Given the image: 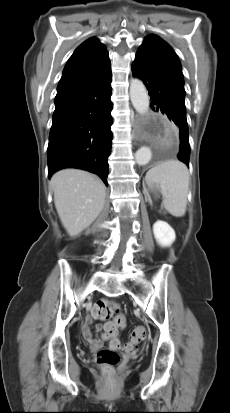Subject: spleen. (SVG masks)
Returning <instances> with one entry per match:
<instances>
[{
  "mask_svg": "<svg viewBox=\"0 0 230 413\" xmlns=\"http://www.w3.org/2000/svg\"><path fill=\"white\" fill-rule=\"evenodd\" d=\"M189 179L187 167L178 160L158 164L145 177L147 184H155L159 188L164 208L175 217L186 213Z\"/></svg>",
  "mask_w": 230,
  "mask_h": 413,
  "instance_id": "3e777b00",
  "label": "spleen"
}]
</instances>
